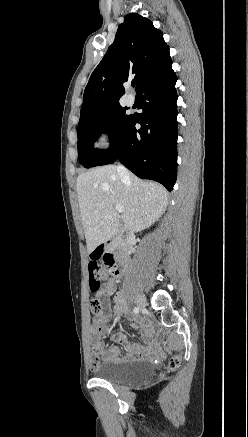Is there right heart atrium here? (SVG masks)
Masks as SVG:
<instances>
[{
    "mask_svg": "<svg viewBox=\"0 0 248 437\" xmlns=\"http://www.w3.org/2000/svg\"><path fill=\"white\" fill-rule=\"evenodd\" d=\"M113 126L109 122H103L94 135V144L98 148L108 147L113 139Z\"/></svg>",
    "mask_w": 248,
    "mask_h": 437,
    "instance_id": "1",
    "label": "right heart atrium"
}]
</instances>
